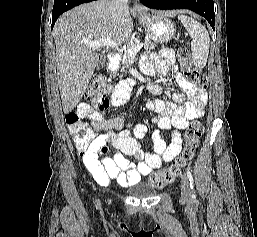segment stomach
<instances>
[{"instance_id": "obj_1", "label": "stomach", "mask_w": 257, "mask_h": 237, "mask_svg": "<svg viewBox=\"0 0 257 237\" xmlns=\"http://www.w3.org/2000/svg\"><path fill=\"white\" fill-rule=\"evenodd\" d=\"M148 37L157 43H166L176 34L174 24L162 13L143 12L137 15Z\"/></svg>"}]
</instances>
